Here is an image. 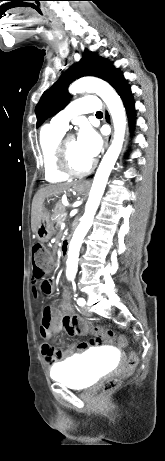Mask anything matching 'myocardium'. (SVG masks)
Returning a JSON list of instances; mask_svg holds the SVG:
<instances>
[{
	"label": "myocardium",
	"mask_w": 165,
	"mask_h": 461,
	"mask_svg": "<svg viewBox=\"0 0 165 461\" xmlns=\"http://www.w3.org/2000/svg\"><path fill=\"white\" fill-rule=\"evenodd\" d=\"M74 138L73 135H63L57 143L55 149V161L58 169L68 176H84L91 172L95 167V161L91 159L90 163L84 169H76L72 166L68 157V141Z\"/></svg>",
	"instance_id": "myocardium-1"
}]
</instances>
